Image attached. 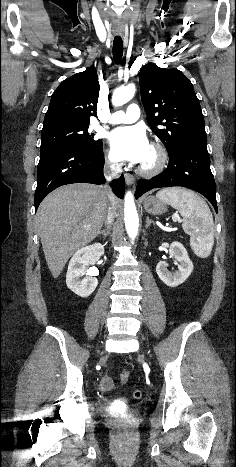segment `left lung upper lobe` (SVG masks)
I'll return each instance as SVG.
<instances>
[{"label":"left lung upper lobe","instance_id":"obj_1","mask_svg":"<svg viewBox=\"0 0 236 467\" xmlns=\"http://www.w3.org/2000/svg\"><path fill=\"white\" fill-rule=\"evenodd\" d=\"M139 80L148 124L169 154L186 140L206 138L199 100L181 71L148 63L141 68Z\"/></svg>","mask_w":236,"mask_h":467}]
</instances>
